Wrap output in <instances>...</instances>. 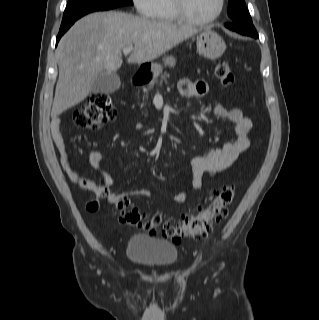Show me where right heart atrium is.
Masks as SVG:
<instances>
[{"label": "right heart atrium", "mask_w": 319, "mask_h": 320, "mask_svg": "<svg viewBox=\"0 0 319 320\" xmlns=\"http://www.w3.org/2000/svg\"><path fill=\"white\" fill-rule=\"evenodd\" d=\"M138 13L146 17H156L161 0H132Z\"/></svg>", "instance_id": "1"}]
</instances>
